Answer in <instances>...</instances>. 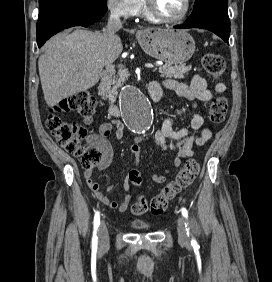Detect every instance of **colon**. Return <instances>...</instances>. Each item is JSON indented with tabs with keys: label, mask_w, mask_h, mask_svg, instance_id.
<instances>
[{
	"label": "colon",
	"mask_w": 272,
	"mask_h": 282,
	"mask_svg": "<svg viewBox=\"0 0 272 282\" xmlns=\"http://www.w3.org/2000/svg\"><path fill=\"white\" fill-rule=\"evenodd\" d=\"M202 66L206 73L218 79L225 70L223 58L216 54H205L202 57ZM96 101L88 92H79L67 99L60 101L51 108L45 122L52 136L59 146L66 152L80 159L81 165L86 169H93L102 162L103 150L97 144L84 145L87 137L86 129L78 123L63 120L59 114L62 112H76L89 123L95 113ZM228 110V101L224 95L217 96L210 107L209 118L214 123L221 122ZM199 172V163L188 160L176 175L174 180L167 184L150 201L139 197L132 205L134 215L147 212L160 215L168 207L169 202L183 189L190 186ZM130 182L138 186L141 184L140 175L132 171L129 174Z\"/></svg>",
	"instance_id": "obj_1"
}]
</instances>
